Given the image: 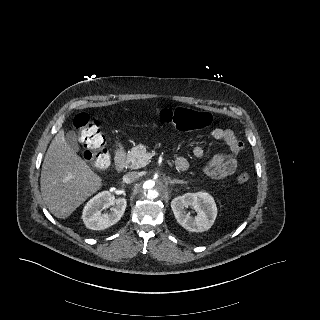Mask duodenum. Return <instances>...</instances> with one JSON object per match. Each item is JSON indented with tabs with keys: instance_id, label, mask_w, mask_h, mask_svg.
Wrapping results in <instances>:
<instances>
[{
	"instance_id": "410a0bca",
	"label": "duodenum",
	"mask_w": 320,
	"mask_h": 320,
	"mask_svg": "<svg viewBox=\"0 0 320 320\" xmlns=\"http://www.w3.org/2000/svg\"><path fill=\"white\" fill-rule=\"evenodd\" d=\"M114 161H115V167L117 171H122L125 166H126V155H125V151L122 148H119L116 150L115 152V156H114ZM176 168L178 170H186L187 169V163L183 162L182 164H179L177 161L175 163Z\"/></svg>"
}]
</instances>
